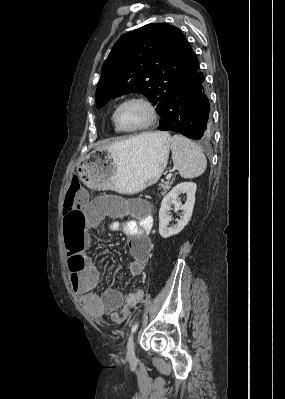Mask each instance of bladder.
I'll list each match as a JSON object with an SVG mask.
<instances>
[{
  "label": "bladder",
  "instance_id": "bladder-1",
  "mask_svg": "<svg viewBox=\"0 0 285 399\" xmlns=\"http://www.w3.org/2000/svg\"><path fill=\"white\" fill-rule=\"evenodd\" d=\"M143 203H144V204H146V203H147V201H143Z\"/></svg>",
  "mask_w": 285,
  "mask_h": 399
}]
</instances>
